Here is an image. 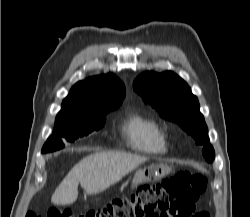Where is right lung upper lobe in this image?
Listing matches in <instances>:
<instances>
[{"label": "right lung upper lobe", "mask_w": 250, "mask_h": 217, "mask_svg": "<svg viewBox=\"0 0 250 217\" xmlns=\"http://www.w3.org/2000/svg\"><path fill=\"white\" fill-rule=\"evenodd\" d=\"M124 95L123 83L113 74L79 81L63 100L56 121L86 119L95 114L117 109Z\"/></svg>", "instance_id": "1"}]
</instances>
